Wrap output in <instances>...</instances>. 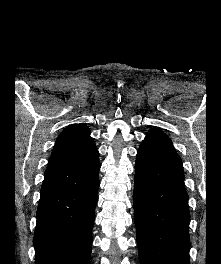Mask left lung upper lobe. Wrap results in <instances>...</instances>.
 I'll return each instance as SVG.
<instances>
[{
    "label": "left lung upper lobe",
    "instance_id": "5c2ea615",
    "mask_svg": "<svg viewBox=\"0 0 221 264\" xmlns=\"http://www.w3.org/2000/svg\"><path fill=\"white\" fill-rule=\"evenodd\" d=\"M145 140L154 141L156 143H159L160 145L167 148L168 150L176 153L171 140L168 138L167 135H165L161 131L153 130V129L150 130L147 136L145 137Z\"/></svg>",
    "mask_w": 221,
    "mask_h": 264
}]
</instances>
